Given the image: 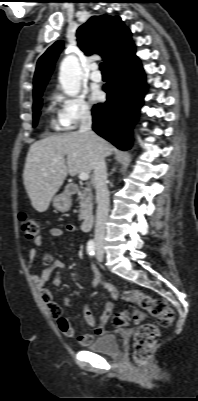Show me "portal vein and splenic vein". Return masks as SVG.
<instances>
[{"label": "portal vein and splenic vein", "instance_id": "obj_1", "mask_svg": "<svg viewBox=\"0 0 198 401\" xmlns=\"http://www.w3.org/2000/svg\"><path fill=\"white\" fill-rule=\"evenodd\" d=\"M54 162H57V160H55ZM79 179L82 181H86L89 179V174L85 173V172H81V173H79Z\"/></svg>", "mask_w": 198, "mask_h": 401}]
</instances>
